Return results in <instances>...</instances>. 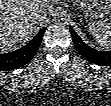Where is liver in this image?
I'll return each mask as SVG.
<instances>
[{"mask_svg": "<svg viewBox=\"0 0 111 106\" xmlns=\"http://www.w3.org/2000/svg\"><path fill=\"white\" fill-rule=\"evenodd\" d=\"M57 0H1L0 49L2 52L22 46L36 29L44 23ZM41 12L42 17L38 18Z\"/></svg>", "mask_w": 111, "mask_h": 106, "instance_id": "obj_1", "label": "liver"}]
</instances>
